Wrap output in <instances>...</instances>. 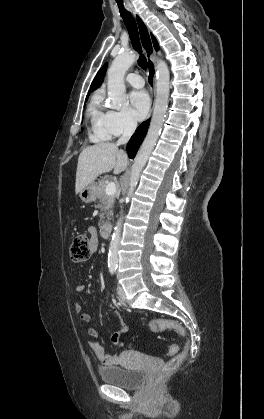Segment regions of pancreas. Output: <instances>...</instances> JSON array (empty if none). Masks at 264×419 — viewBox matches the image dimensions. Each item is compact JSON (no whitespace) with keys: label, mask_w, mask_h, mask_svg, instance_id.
<instances>
[{"label":"pancreas","mask_w":264,"mask_h":419,"mask_svg":"<svg viewBox=\"0 0 264 419\" xmlns=\"http://www.w3.org/2000/svg\"><path fill=\"white\" fill-rule=\"evenodd\" d=\"M107 186L106 179H101L97 186V197H98V204L96 205V208L101 210V213L99 215L100 222L99 225H102L105 223V218L110 220L111 216L113 215V206L115 198L118 196L117 194L113 195H107L105 193V188Z\"/></svg>","instance_id":"obj_1"}]
</instances>
